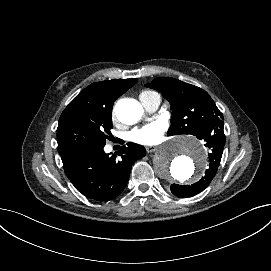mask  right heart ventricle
Listing matches in <instances>:
<instances>
[{
	"label": "right heart ventricle",
	"instance_id": "1",
	"mask_svg": "<svg viewBox=\"0 0 271 271\" xmlns=\"http://www.w3.org/2000/svg\"><path fill=\"white\" fill-rule=\"evenodd\" d=\"M150 95H158L155 91L145 89L140 92V98L145 97V96H150Z\"/></svg>",
	"mask_w": 271,
	"mask_h": 271
}]
</instances>
